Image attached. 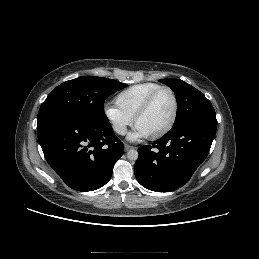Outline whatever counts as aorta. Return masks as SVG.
<instances>
[{
	"instance_id": "aorta-1",
	"label": "aorta",
	"mask_w": 259,
	"mask_h": 259,
	"mask_svg": "<svg viewBox=\"0 0 259 259\" xmlns=\"http://www.w3.org/2000/svg\"><path fill=\"white\" fill-rule=\"evenodd\" d=\"M127 158L129 159V160H137V158H138V152L136 151V150H134V149H131V150H129L128 152H127Z\"/></svg>"
}]
</instances>
